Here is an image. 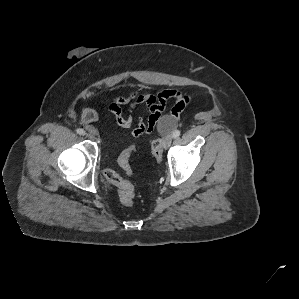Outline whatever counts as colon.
Segmentation results:
<instances>
[{"label":"colon","mask_w":299,"mask_h":299,"mask_svg":"<svg viewBox=\"0 0 299 299\" xmlns=\"http://www.w3.org/2000/svg\"><path fill=\"white\" fill-rule=\"evenodd\" d=\"M174 126V121L170 117L164 118L160 123L161 129H170ZM136 146L133 144L125 149L118 158L119 167L127 174H131L130 159L134 153ZM151 154L153 158L159 162L163 157V147L160 140H154L151 143ZM105 179L112 185L118 188V194L120 201L130 206L134 202L135 191L131 182L121 177L116 171L108 169L104 172Z\"/></svg>","instance_id":"1"}]
</instances>
